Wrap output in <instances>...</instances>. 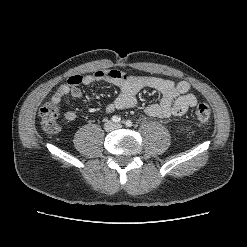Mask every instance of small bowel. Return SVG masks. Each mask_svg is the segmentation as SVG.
<instances>
[{
	"mask_svg": "<svg viewBox=\"0 0 247 247\" xmlns=\"http://www.w3.org/2000/svg\"><path fill=\"white\" fill-rule=\"evenodd\" d=\"M102 81L112 83L119 87L117 98L108 104L106 112L128 109L136 104L137 93L144 88H152L161 93L159 103L148 105L145 113L150 117L168 118L171 116H183L197 103V98L191 93V86L187 81L175 83L172 80L154 75H130L118 70L97 71L89 75H73L65 84L58 87L51 98V102L58 106L62 98H82L83 92L80 86H89ZM66 121L72 122L77 118L74 111L63 114ZM59 131V126L55 132Z\"/></svg>",
	"mask_w": 247,
	"mask_h": 247,
	"instance_id": "c3829d8e",
	"label": "small bowel"
}]
</instances>
